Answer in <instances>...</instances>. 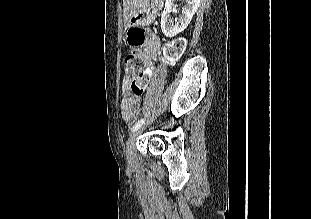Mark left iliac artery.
<instances>
[{"label":"left iliac artery","instance_id":"44dca946","mask_svg":"<svg viewBox=\"0 0 311 219\" xmlns=\"http://www.w3.org/2000/svg\"><path fill=\"white\" fill-rule=\"evenodd\" d=\"M144 122H145L144 118L136 122L135 125L132 127L131 131H135L138 128H140L144 124Z\"/></svg>","mask_w":311,"mask_h":219}]
</instances>
